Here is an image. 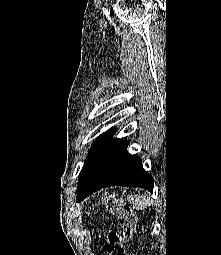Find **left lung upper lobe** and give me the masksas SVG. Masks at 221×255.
Segmentation results:
<instances>
[{
    "mask_svg": "<svg viewBox=\"0 0 221 255\" xmlns=\"http://www.w3.org/2000/svg\"><path fill=\"white\" fill-rule=\"evenodd\" d=\"M113 129L107 131L106 133H103L101 136H99L92 144L91 146V150H90V153H89V156L87 157V159L85 160L84 162V166L86 165L87 161L89 160L90 156L93 154V152L97 149V147L102 143V141L111 133V131H113ZM83 166V168H84ZM82 168V170H83ZM82 172V171H81ZM81 174V173H80Z\"/></svg>",
    "mask_w": 221,
    "mask_h": 255,
    "instance_id": "left-lung-upper-lobe-1",
    "label": "left lung upper lobe"
}]
</instances>
